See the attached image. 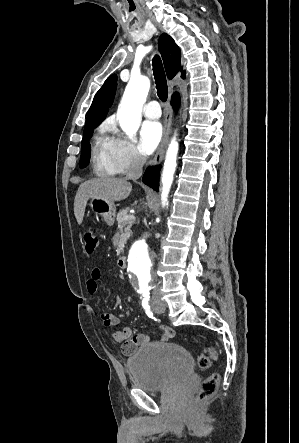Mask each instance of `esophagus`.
<instances>
[{
  "instance_id": "esophagus-1",
  "label": "esophagus",
  "mask_w": 299,
  "mask_h": 443,
  "mask_svg": "<svg viewBox=\"0 0 299 443\" xmlns=\"http://www.w3.org/2000/svg\"><path fill=\"white\" fill-rule=\"evenodd\" d=\"M171 94H172V92L170 91L168 102H167L166 109H165V125H164L163 136H162V140L158 146V149L156 151V154H155L153 160L151 161V165H153V166H156L161 162V160L164 156L166 145L168 143V138H169L171 124H172V108H171V104H170Z\"/></svg>"
}]
</instances>
